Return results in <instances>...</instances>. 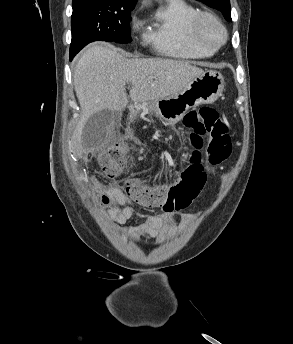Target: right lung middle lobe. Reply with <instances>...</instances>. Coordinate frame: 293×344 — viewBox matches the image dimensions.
Segmentation results:
<instances>
[{"mask_svg": "<svg viewBox=\"0 0 293 344\" xmlns=\"http://www.w3.org/2000/svg\"><path fill=\"white\" fill-rule=\"evenodd\" d=\"M72 6L70 58L93 41H131L130 12L135 5L83 0Z\"/></svg>", "mask_w": 293, "mask_h": 344, "instance_id": "dd1d6c3e", "label": "right lung middle lobe"}]
</instances>
